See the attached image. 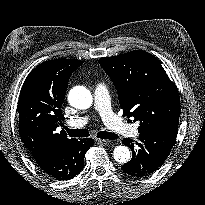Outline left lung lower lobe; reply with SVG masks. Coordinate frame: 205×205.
Segmentation results:
<instances>
[{"label":"left lung lower lobe","mask_w":205,"mask_h":205,"mask_svg":"<svg viewBox=\"0 0 205 205\" xmlns=\"http://www.w3.org/2000/svg\"><path fill=\"white\" fill-rule=\"evenodd\" d=\"M178 127H162L139 132L136 145L132 139H123V144L132 150V159L121 169L133 177H145L161 167L175 143Z\"/></svg>","instance_id":"1"}]
</instances>
